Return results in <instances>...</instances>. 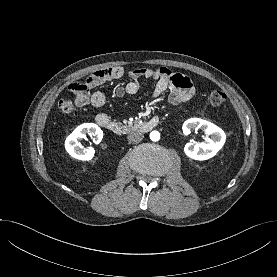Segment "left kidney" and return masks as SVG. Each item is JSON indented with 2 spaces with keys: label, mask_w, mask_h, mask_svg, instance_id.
Segmentation results:
<instances>
[{
  "label": "left kidney",
  "mask_w": 277,
  "mask_h": 277,
  "mask_svg": "<svg viewBox=\"0 0 277 277\" xmlns=\"http://www.w3.org/2000/svg\"><path fill=\"white\" fill-rule=\"evenodd\" d=\"M199 129L205 132L207 138L201 143H187L184 147V152L189 158L202 161L210 159L217 154L225 143L226 135L215 124L200 118L188 119L183 124V132L186 135L191 130Z\"/></svg>",
  "instance_id": "left-kidney-1"
}]
</instances>
